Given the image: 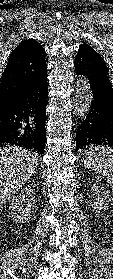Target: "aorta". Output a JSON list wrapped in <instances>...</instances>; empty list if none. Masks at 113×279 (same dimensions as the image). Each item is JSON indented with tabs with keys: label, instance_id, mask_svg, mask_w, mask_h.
Here are the masks:
<instances>
[{
	"label": "aorta",
	"instance_id": "aorta-1",
	"mask_svg": "<svg viewBox=\"0 0 113 279\" xmlns=\"http://www.w3.org/2000/svg\"><path fill=\"white\" fill-rule=\"evenodd\" d=\"M93 93L87 78L80 77L75 86V113L80 119H85L90 111Z\"/></svg>",
	"mask_w": 113,
	"mask_h": 279
}]
</instances>
